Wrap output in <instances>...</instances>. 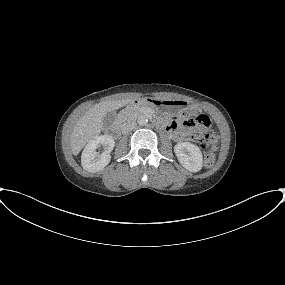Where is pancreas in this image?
I'll return each mask as SVG.
<instances>
[{"label": "pancreas", "mask_w": 285, "mask_h": 285, "mask_svg": "<svg viewBox=\"0 0 285 285\" xmlns=\"http://www.w3.org/2000/svg\"><path fill=\"white\" fill-rule=\"evenodd\" d=\"M141 110L138 108H135L133 106H128L127 108H125L119 116V122H123L128 118L134 117L138 114H140Z\"/></svg>", "instance_id": "cf45deb5"}]
</instances>
